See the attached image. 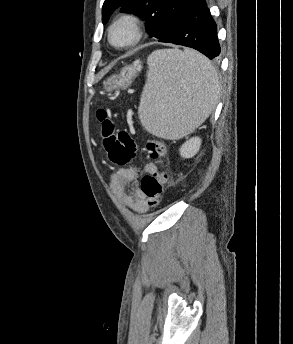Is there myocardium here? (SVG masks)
Masks as SVG:
<instances>
[{"instance_id": "myocardium-1", "label": "myocardium", "mask_w": 293, "mask_h": 344, "mask_svg": "<svg viewBox=\"0 0 293 344\" xmlns=\"http://www.w3.org/2000/svg\"><path fill=\"white\" fill-rule=\"evenodd\" d=\"M126 25L132 32L131 39L123 44H117L113 40L114 30L121 26ZM142 37V27L139 18L130 13H125L116 17L108 28V41L110 45L115 49H127L136 45Z\"/></svg>"}]
</instances>
